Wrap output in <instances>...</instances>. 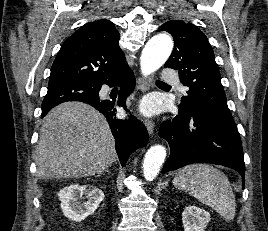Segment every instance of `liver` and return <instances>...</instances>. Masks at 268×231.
<instances>
[{
    "label": "liver",
    "instance_id": "6515ba94",
    "mask_svg": "<svg viewBox=\"0 0 268 231\" xmlns=\"http://www.w3.org/2000/svg\"><path fill=\"white\" fill-rule=\"evenodd\" d=\"M116 158L108 122L90 105L65 102L44 117L37 145L38 178L93 176Z\"/></svg>",
    "mask_w": 268,
    "mask_h": 231
}]
</instances>
